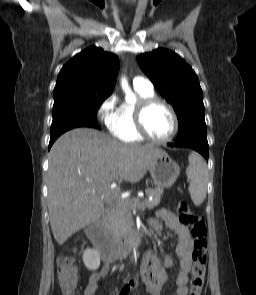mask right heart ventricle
<instances>
[{"label": "right heart ventricle", "instance_id": "1", "mask_svg": "<svg viewBox=\"0 0 256 295\" xmlns=\"http://www.w3.org/2000/svg\"><path fill=\"white\" fill-rule=\"evenodd\" d=\"M139 100L154 96V91L134 88ZM136 105L131 103H123L118 110L117 116L110 124L112 134L119 140L127 143H135L143 141V137L139 134L135 125Z\"/></svg>", "mask_w": 256, "mask_h": 295}]
</instances>
